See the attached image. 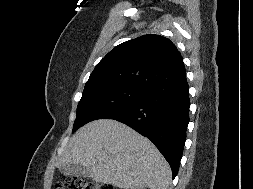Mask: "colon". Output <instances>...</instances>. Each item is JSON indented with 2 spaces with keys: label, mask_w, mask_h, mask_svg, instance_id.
Segmentation results:
<instances>
[{
  "label": "colon",
  "mask_w": 253,
  "mask_h": 189,
  "mask_svg": "<svg viewBox=\"0 0 253 189\" xmlns=\"http://www.w3.org/2000/svg\"><path fill=\"white\" fill-rule=\"evenodd\" d=\"M56 189H114V187L81 177H69L65 182L57 183Z\"/></svg>",
  "instance_id": "1"
}]
</instances>
